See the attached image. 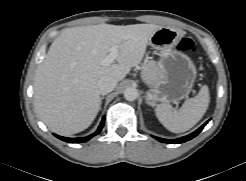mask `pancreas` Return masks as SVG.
<instances>
[{"mask_svg":"<svg viewBox=\"0 0 246 181\" xmlns=\"http://www.w3.org/2000/svg\"><path fill=\"white\" fill-rule=\"evenodd\" d=\"M141 77L146 83H151L159 79L161 76L160 68L154 61H146L141 66Z\"/></svg>","mask_w":246,"mask_h":181,"instance_id":"cf45deb5","label":"pancreas"}]
</instances>
